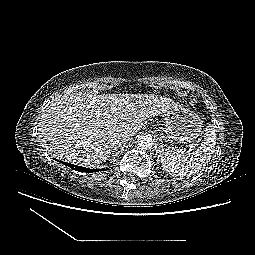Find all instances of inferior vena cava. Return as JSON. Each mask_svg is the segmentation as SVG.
Masks as SVG:
<instances>
[{
  "instance_id": "inferior-vena-cava-1",
  "label": "inferior vena cava",
  "mask_w": 255,
  "mask_h": 255,
  "mask_svg": "<svg viewBox=\"0 0 255 255\" xmlns=\"http://www.w3.org/2000/svg\"><path fill=\"white\" fill-rule=\"evenodd\" d=\"M130 140V135L126 132L117 133L115 136V144L120 145L127 143Z\"/></svg>"
}]
</instances>
